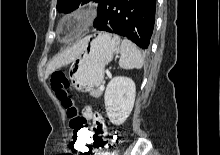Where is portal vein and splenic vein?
<instances>
[{
  "instance_id": "obj_1",
  "label": "portal vein and splenic vein",
  "mask_w": 220,
  "mask_h": 155,
  "mask_svg": "<svg viewBox=\"0 0 220 155\" xmlns=\"http://www.w3.org/2000/svg\"><path fill=\"white\" fill-rule=\"evenodd\" d=\"M100 90H104V84L100 86Z\"/></svg>"
}]
</instances>
